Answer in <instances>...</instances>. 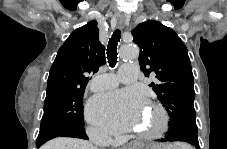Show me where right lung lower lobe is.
Instances as JSON below:
<instances>
[{"label":"right lung lower lobe","mask_w":227,"mask_h":149,"mask_svg":"<svg viewBox=\"0 0 227 149\" xmlns=\"http://www.w3.org/2000/svg\"><path fill=\"white\" fill-rule=\"evenodd\" d=\"M58 136L88 139L85 133L84 127H66L62 129L44 128V129H40L39 135L36 140V146L40 147L48 140Z\"/></svg>","instance_id":"right-lung-lower-lobe-1"}]
</instances>
